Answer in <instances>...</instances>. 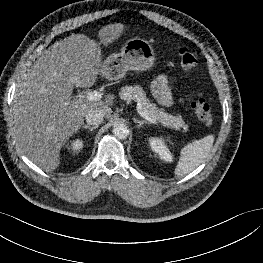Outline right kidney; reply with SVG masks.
<instances>
[{
  "instance_id": "right-kidney-1",
  "label": "right kidney",
  "mask_w": 263,
  "mask_h": 263,
  "mask_svg": "<svg viewBox=\"0 0 263 263\" xmlns=\"http://www.w3.org/2000/svg\"><path fill=\"white\" fill-rule=\"evenodd\" d=\"M83 148V140L76 139L71 143V149L74 153H78Z\"/></svg>"
}]
</instances>
